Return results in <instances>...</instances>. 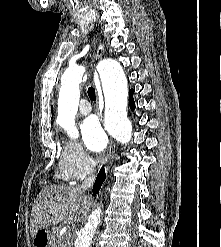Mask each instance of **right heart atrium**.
Returning a JSON list of instances; mask_svg holds the SVG:
<instances>
[{
	"label": "right heart atrium",
	"mask_w": 221,
	"mask_h": 247,
	"mask_svg": "<svg viewBox=\"0 0 221 247\" xmlns=\"http://www.w3.org/2000/svg\"><path fill=\"white\" fill-rule=\"evenodd\" d=\"M60 167L70 179H79L91 171L92 162L80 143L69 140L62 148Z\"/></svg>",
	"instance_id": "1"
}]
</instances>
